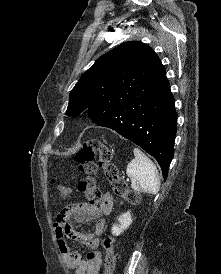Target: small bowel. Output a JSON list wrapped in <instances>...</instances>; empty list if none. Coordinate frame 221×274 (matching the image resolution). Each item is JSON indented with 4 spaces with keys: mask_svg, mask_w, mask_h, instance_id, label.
<instances>
[{
    "mask_svg": "<svg viewBox=\"0 0 221 274\" xmlns=\"http://www.w3.org/2000/svg\"><path fill=\"white\" fill-rule=\"evenodd\" d=\"M113 205L112 195L105 193L100 204L76 202L57 214L54 230L58 249L65 262L75 269L74 274H99L102 264L101 252L98 250L99 236L106 226V220L102 215L110 214ZM87 220H95L92 233H81L73 228L74 222ZM67 238L85 245L90 251L83 257L80 252L68 246Z\"/></svg>",
    "mask_w": 221,
    "mask_h": 274,
    "instance_id": "obj_1",
    "label": "small bowel"
}]
</instances>
